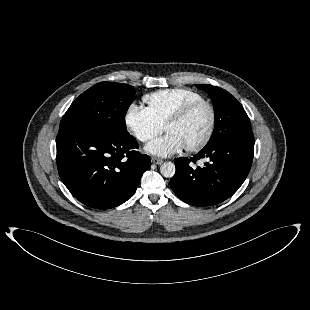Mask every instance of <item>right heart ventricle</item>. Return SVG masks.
<instances>
[{"label":"right heart ventricle","instance_id":"right-heart-ventricle-1","mask_svg":"<svg viewBox=\"0 0 310 310\" xmlns=\"http://www.w3.org/2000/svg\"><path fill=\"white\" fill-rule=\"evenodd\" d=\"M198 100H203L201 94L184 88L158 90L143 97L146 109L161 126L181 108Z\"/></svg>","mask_w":310,"mask_h":310}]
</instances>
